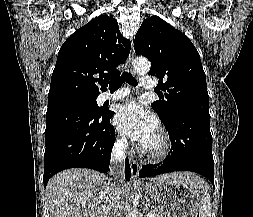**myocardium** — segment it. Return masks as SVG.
<instances>
[{
    "instance_id": "obj_1",
    "label": "myocardium",
    "mask_w": 253,
    "mask_h": 217,
    "mask_svg": "<svg viewBox=\"0 0 253 217\" xmlns=\"http://www.w3.org/2000/svg\"><path fill=\"white\" fill-rule=\"evenodd\" d=\"M158 144L151 148L147 145L143 146V152L151 159L159 160L166 157L170 151L171 143L168 133L160 128L157 131Z\"/></svg>"
}]
</instances>
